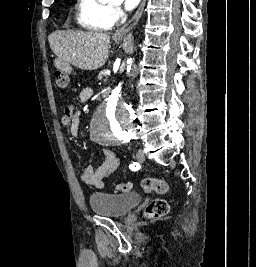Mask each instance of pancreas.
Wrapping results in <instances>:
<instances>
[{
	"mask_svg": "<svg viewBox=\"0 0 256 267\" xmlns=\"http://www.w3.org/2000/svg\"><path fill=\"white\" fill-rule=\"evenodd\" d=\"M105 74H100L99 78H104Z\"/></svg>",
	"mask_w": 256,
	"mask_h": 267,
	"instance_id": "cf45deb5",
	"label": "pancreas"
}]
</instances>
